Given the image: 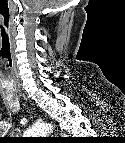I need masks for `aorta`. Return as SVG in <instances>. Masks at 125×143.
<instances>
[{"label":"aorta","instance_id":"1","mask_svg":"<svg viewBox=\"0 0 125 143\" xmlns=\"http://www.w3.org/2000/svg\"><path fill=\"white\" fill-rule=\"evenodd\" d=\"M51 130V126L49 124L39 123L30 128L27 131V134L29 135H36V136H42L47 134Z\"/></svg>","mask_w":125,"mask_h":143}]
</instances>
